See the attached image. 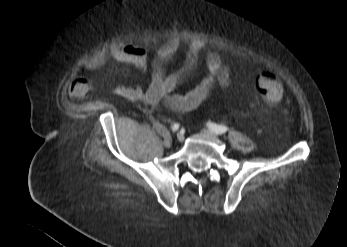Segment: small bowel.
Returning <instances> with one entry per match:
<instances>
[{"label":"small bowel","instance_id":"obj_1","mask_svg":"<svg viewBox=\"0 0 347 247\" xmlns=\"http://www.w3.org/2000/svg\"><path fill=\"white\" fill-rule=\"evenodd\" d=\"M180 47L179 40L170 39L156 50L151 62V80L147 88L140 84L116 85L113 88L114 94L128 101H141L153 108L165 107L172 112L184 113L199 108L216 86L227 87L231 84L230 67L217 52H209L206 56V75L187 92L175 93L176 88L195 70L203 50L201 42H189L181 66L167 73L166 67ZM110 58L123 65H132L142 72L148 66L145 48L133 44L120 45L108 52L97 53L87 58L83 66L89 71H94L103 67ZM88 85L86 80L78 81L72 86V93L85 96Z\"/></svg>","mask_w":347,"mask_h":247}]
</instances>
